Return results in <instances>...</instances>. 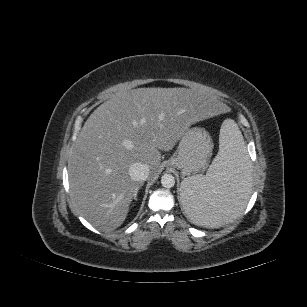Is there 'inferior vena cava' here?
<instances>
[{
    "instance_id": "inferior-vena-cava-1",
    "label": "inferior vena cava",
    "mask_w": 307,
    "mask_h": 307,
    "mask_svg": "<svg viewBox=\"0 0 307 307\" xmlns=\"http://www.w3.org/2000/svg\"><path fill=\"white\" fill-rule=\"evenodd\" d=\"M129 175L135 181H145L149 176V168L145 163L135 162L129 167Z\"/></svg>"
}]
</instances>
